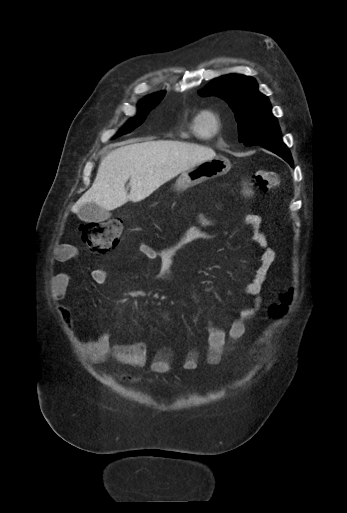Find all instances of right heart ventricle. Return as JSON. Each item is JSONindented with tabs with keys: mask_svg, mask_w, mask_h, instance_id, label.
Listing matches in <instances>:
<instances>
[{
	"mask_svg": "<svg viewBox=\"0 0 347 513\" xmlns=\"http://www.w3.org/2000/svg\"><path fill=\"white\" fill-rule=\"evenodd\" d=\"M197 117H198V114L195 115L190 123H189V132L199 138H208L206 136H204L198 129V125H197Z\"/></svg>",
	"mask_w": 347,
	"mask_h": 513,
	"instance_id": "obj_1",
	"label": "right heart ventricle"
}]
</instances>
